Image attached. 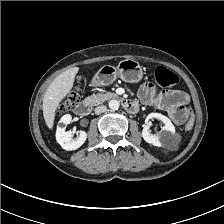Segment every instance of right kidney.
I'll use <instances>...</instances> for the list:
<instances>
[{
  "label": "right kidney",
  "mask_w": 224,
  "mask_h": 224,
  "mask_svg": "<svg viewBox=\"0 0 224 224\" xmlns=\"http://www.w3.org/2000/svg\"><path fill=\"white\" fill-rule=\"evenodd\" d=\"M72 120L70 114H65L61 117L60 123L68 125ZM72 131H66L65 127H57L56 130V140L61 145V147L67 151H72L80 148L87 139V133L85 131H80L76 138H72Z\"/></svg>",
  "instance_id": "1"
}]
</instances>
